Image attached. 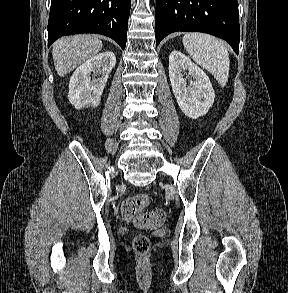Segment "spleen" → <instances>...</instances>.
I'll return each instance as SVG.
<instances>
[{"label":"spleen","instance_id":"3e777b00","mask_svg":"<svg viewBox=\"0 0 288 293\" xmlns=\"http://www.w3.org/2000/svg\"><path fill=\"white\" fill-rule=\"evenodd\" d=\"M183 45L191 58L209 71L225 86L229 77V54L225 45L215 37L203 33H186Z\"/></svg>","mask_w":288,"mask_h":293}]
</instances>
